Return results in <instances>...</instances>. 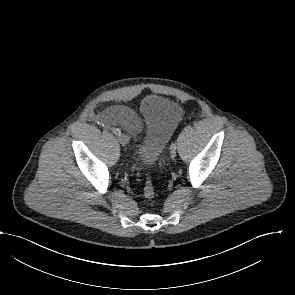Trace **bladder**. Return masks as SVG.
Returning a JSON list of instances; mask_svg holds the SVG:
<instances>
[{
  "mask_svg": "<svg viewBox=\"0 0 295 295\" xmlns=\"http://www.w3.org/2000/svg\"><path fill=\"white\" fill-rule=\"evenodd\" d=\"M139 116L144 122V130L136 144V154L141 163L151 166L165 149L182 117V110L168 97L151 95L141 103Z\"/></svg>",
  "mask_w": 295,
  "mask_h": 295,
  "instance_id": "bladder-1",
  "label": "bladder"
}]
</instances>
